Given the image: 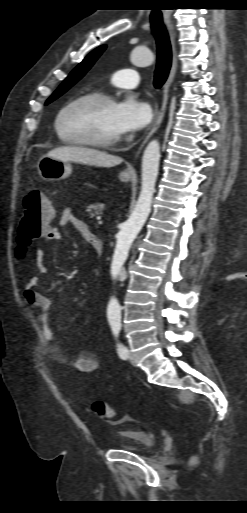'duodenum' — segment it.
<instances>
[{
  "label": "duodenum",
  "instance_id": "1",
  "mask_svg": "<svg viewBox=\"0 0 247 513\" xmlns=\"http://www.w3.org/2000/svg\"><path fill=\"white\" fill-rule=\"evenodd\" d=\"M87 241L93 246L98 255L103 253V243L98 237L91 233L88 235Z\"/></svg>",
  "mask_w": 247,
  "mask_h": 513
}]
</instances>
